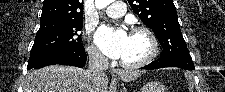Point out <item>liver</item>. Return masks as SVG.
Returning <instances> with one entry per match:
<instances>
[{"label": "liver", "mask_w": 225, "mask_h": 92, "mask_svg": "<svg viewBox=\"0 0 225 92\" xmlns=\"http://www.w3.org/2000/svg\"><path fill=\"white\" fill-rule=\"evenodd\" d=\"M143 71L118 70L123 82L137 79ZM23 92H107L108 77L105 73L92 75L78 67L52 65L30 71L24 81Z\"/></svg>", "instance_id": "liver-1"}]
</instances>
